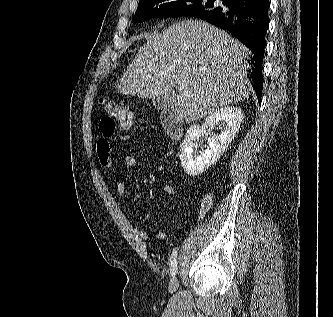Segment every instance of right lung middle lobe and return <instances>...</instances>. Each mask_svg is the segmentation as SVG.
<instances>
[{
	"label": "right lung middle lobe",
	"mask_w": 333,
	"mask_h": 317,
	"mask_svg": "<svg viewBox=\"0 0 333 317\" xmlns=\"http://www.w3.org/2000/svg\"><path fill=\"white\" fill-rule=\"evenodd\" d=\"M215 0H141L133 22H142L159 16H195L216 8Z\"/></svg>",
	"instance_id": "dd1d6c3e"
}]
</instances>
